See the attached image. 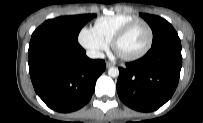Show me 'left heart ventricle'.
Segmentation results:
<instances>
[{"instance_id":"b2bd125f","label":"left heart ventricle","mask_w":203,"mask_h":123,"mask_svg":"<svg viewBox=\"0 0 203 123\" xmlns=\"http://www.w3.org/2000/svg\"><path fill=\"white\" fill-rule=\"evenodd\" d=\"M149 34L144 25L135 26L118 44V51L123 55H133L143 50Z\"/></svg>"}]
</instances>
